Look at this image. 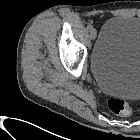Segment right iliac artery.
Returning a JSON list of instances; mask_svg holds the SVG:
<instances>
[{
  "instance_id": "1",
  "label": "right iliac artery",
  "mask_w": 140,
  "mask_h": 140,
  "mask_svg": "<svg viewBox=\"0 0 140 140\" xmlns=\"http://www.w3.org/2000/svg\"><path fill=\"white\" fill-rule=\"evenodd\" d=\"M87 28H88V30L90 31V30L93 29V25L89 24V25L87 26Z\"/></svg>"
}]
</instances>
